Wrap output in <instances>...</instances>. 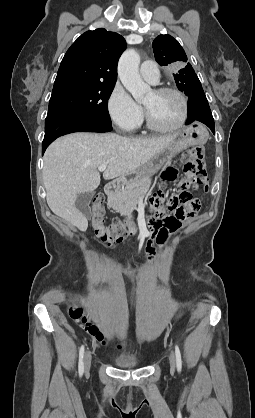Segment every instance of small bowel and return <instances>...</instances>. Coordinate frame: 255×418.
<instances>
[{
  "instance_id": "c3829d8e",
  "label": "small bowel",
  "mask_w": 255,
  "mask_h": 418,
  "mask_svg": "<svg viewBox=\"0 0 255 418\" xmlns=\"http://www.w3.org/2000/svg\"><path fill=\"white\" fill-rule=\"evenodd\" d=\"M164 180L165 181H170L173 180L175 177V170L173 168H168L164 173ZM184 222H179V225L177 228L175 229H171L170 227H165L163 229V234L160 235L159 237H157L156 235H151L150 236V240H148L146 242V247L143 250V253L145 256H148L149 260L152 261L154 260L160 253L161 250L158 248L160 247H166L167 246V241H168V236H170L172 234V232H175L178 228H180V226L183 224ZM89 333L97 340L99 341L101 344L103 345H107L108 341L104 336V333L102 331H100L96 326H94L91 329H88Z\"/></svg>"
}]
</instances>
